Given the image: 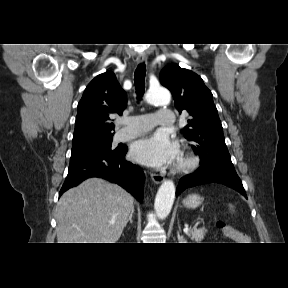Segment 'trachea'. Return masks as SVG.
Listing matches in <instances>:
<instances>
[{
	"mask_svg": "<svg viewBox=\"0 0 288 288\" xmlns=\"http://www.w3.org/2000/svg\"><path fill=\"white\" fill-rule=\"evenodd\" d=\"M145 74H146V66L145 63L143 62L138 65L134 74V82L136 86V93L138 100H141V97L144 94Z\"/></svg>",
	"mask_w": 288,
	"mask_h": 288,
	"instance_id": "obj_1",
	"label": "trachea"
}]
</instances>
